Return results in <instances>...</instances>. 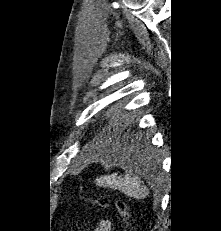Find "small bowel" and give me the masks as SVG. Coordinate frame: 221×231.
I'll use <instances>...</instances> for the list:
<instances>
[{
    "instance_id": "1",
    "label": "small bowel",
    "mask_w": 221,
    "mask_h": 231,
    "mask_svg": "<svg viewBox=\"0 0 221 231\" xmlns=\"http://www.w3.org/2000/svg\"><path fill=\"white\" fill-rule=\"evenodd\" d=\"M111 221L108 219H102L98 222L97 226L93 229V231H111Z\"/></svg>"
}]
</instances>
